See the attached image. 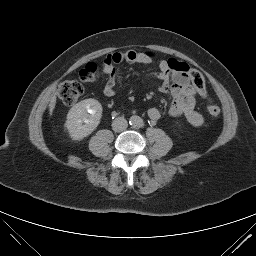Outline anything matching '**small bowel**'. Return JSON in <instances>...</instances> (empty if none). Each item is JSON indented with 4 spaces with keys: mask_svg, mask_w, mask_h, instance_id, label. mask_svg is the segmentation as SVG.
Segmentation results:
<instances>
[{
    "mask_svg": "<svg viewBox=\"0 0 256 256\" xmlns=\"http://www.w3.org/2000/svg\"><path fill=\"white\" fill-rule=\"evenodd\" d=\"M117 59L114 66H104L103 72L107 75V82L104 87V94L107 97L116 95V82L119 74L118 64H150L153 55L149 52L127 51L114 53ZM159 71L153 74L155 79L160 81L159 90L170 93L173 101L168 110L171 118L184 116L193 126H200L204 123V117L195 110L196 91L191 84L188 74L190 68L186 63L175 59L160 60L158 63ZM147 114L151 120L157 121L162 117L158 108H149Z\"/></svg>",
    "mask_w": 256,
    "mask_h": 256,
    "instance_id": "1",
    "label": "small bowel"
}]
</instances>
